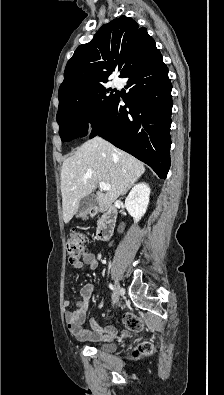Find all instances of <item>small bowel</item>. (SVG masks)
<instances>
[{
    "instance_id": "1",
    "label": "small bowel",
    "mask_w": 224,
    "mask_h": 395,
    "mask_svg": "<svg viewBox=\"0 0 224 395\" xmlns=\"http://www.w3.org/2000/svg\"><path fill=\"white\" fill-rule=\"evenodd\" d=\"M84 264L89 266L90 269H96L98 261L94 254L86 253L83 256L82 261L74 264V267L83 271ZM93 293V284H86L83 286L80 291L81 299L76 303L74 308L65 312L64 318L70 333L75 338L82 341L111 340L127 336L126 331L118 333L114 326L103 328L94 319L90 320L89 329L83 327ZM63 305L67 308L71 305V302L69 300H65Z\"/></svg>"
}]
</instances>
